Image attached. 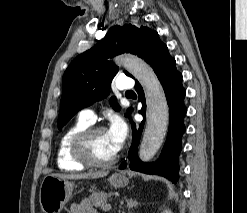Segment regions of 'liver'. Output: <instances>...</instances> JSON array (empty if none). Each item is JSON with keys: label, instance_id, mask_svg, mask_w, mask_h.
Instances as JSON below:
<instances>
[{"label": "liver", "instance_id": "obj_1", "mask_svg": "<svg viewBox=\"0 0 247 213\" xmlns=\"http://www.w3.org/2000/svg\"><path fill=\"white\" fill-rule=\"evenodd\" d=\"M108 175V171H96L83 174H52V176L62 179L78 180V179H97Z\"/></svg>", "mask_w": 247, "mask_h": 213}]
</instances>
